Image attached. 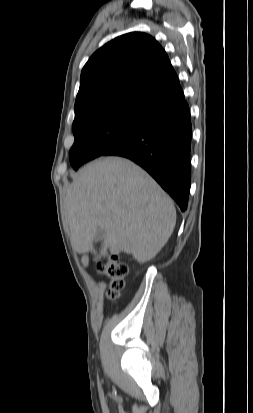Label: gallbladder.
I'll use <instances>...</instances> for the list:
<instances>
[{"instance_id":"bac80fb5","label":"gallbladder","mask_w":253,"mask_h":413,"mask_svg":"<svg viewBox=\"0 0 253 413\" xmlns=\"http://www.w3.org/2000/svg\"><path fill=\"white\" fill-rule=\"evenodd\" d=\"M105 234H106V233H105L104 230L98 229L97 232H96V234H95L94 241H95L96 243L101 242V241L104 239Z\"/></svg>"}]
</instances>
